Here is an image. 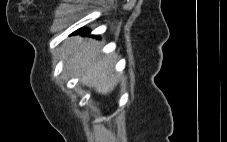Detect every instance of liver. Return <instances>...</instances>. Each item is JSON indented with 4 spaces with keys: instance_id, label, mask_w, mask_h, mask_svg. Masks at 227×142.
Masks as SVG:
<instances>
[{
    "instance_id": "1",
    "label": "liver",
    "mask_w": 227,
    "mask_h": 142,
    "mask_svg": "<svg viewBox=\"0 0 227 142\" xmlns=\"http://www.w3.org/2000/svg\"><path fill=\"white\" fill-rule=\"evenodd\" d=\"M101 43L97 40L83 41L80 37L68 39L63 46L65 68L81 76L84 85L94 88L100 94H109L122 74L112 73L116 56L100 57Z\"/></svg>"
}]
</instances>
